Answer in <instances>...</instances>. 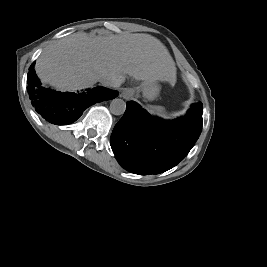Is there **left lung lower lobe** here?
I'll return each mask as SVG.
<instances>
[{
	"instance_id": "left-lung-lower-lobe-1",
	"label": "left lung lower lobe",
	"mask_w": 267,
	"mask_h": 267,
	"mask_svg": "<svg viewBox=\"0 0 267 267\" xmlns=\"http://www.w3.org/2000/svg\"><path fill=\"white\" fill-rule=\"evenodd\" d=\"M126 105L110 144L119 164L132 173L159 174L171 169L185 158L201 133V102L172 121L152 117L136 102Z\"/></svg>"
}]
</instances>
